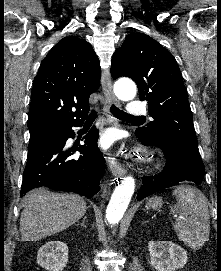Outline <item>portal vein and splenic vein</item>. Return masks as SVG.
<instances>
[{"instance_id":"portal-vein-and-splenic-vein-1","label":"portal vein and splenic vein","mask_w":221,"mask_h":271,"mask_svg":"<svg viewBox=\"0 0 221 271\" xmlns=\"http://www.w3.org/2000/svg\"><path fill=\"white\" fill-rule=\"evenodd\" d=\"M173 216L176 218L178 215L175 213Z\"/></svg>"}]
</instances>
